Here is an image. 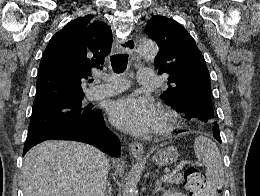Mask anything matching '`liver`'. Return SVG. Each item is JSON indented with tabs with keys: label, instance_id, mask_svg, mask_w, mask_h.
Returning <instances> with one entry per match:
<instances>
[{
	"label": "liver",
	"instance_id": "obj_1",
	"mask_svg": "<svg viewBox=\"0 0 260 196\" xmlns=\"http://www.w3.org/2000/svg\"><path fill=\"white\" fill-rule=\"evenodd\" d=\"M108 170L109 160L94 146L47 140L24 158L22 192L24 196H94L96 190L105 192Z\"/></svg>",
	"mask_w": 260,
	"mask_h": 196
}]
</instances>
